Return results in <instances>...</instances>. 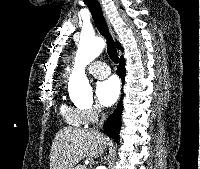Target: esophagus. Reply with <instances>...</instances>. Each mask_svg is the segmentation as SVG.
I'll return each mask as SVG.
<instances>
[{"mask_svg":"<svg viewBox=\"0 0 200 169\" xmlns=\"http://www.w3.org/2000/svg\"><path fill=\"white\" fill-rule=\"evenodd\" d=\"M99 1H100V0H99ZM103 14H104V17H105V19H106V22H107V25H108V27H109V30H110L112 36L115 38V33H114L113 29H112V26H111V24H110V21H109V19H108V17H107V14H106L105 11H104V9H103Z\"/></svg>","mask_w":200,"mask_h":169,"instance_id":"esophagus-1","label":"esophagus"}]
</instances>
